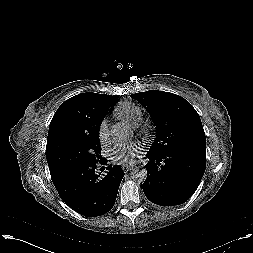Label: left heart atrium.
Returning <instances> with one entry per match:
<instances>
[{"mask_svg": "<svg viewBox=\"0 0 253 253\" xmlns=\"http://www.w3.org/2000/svg\"><path fill=\"white\" fill-rule=\"evenodd\" d=\"M142 149V145L137 142L118 143L111 150V158L117 163L131 164Z\"/></svg>", "mask_w": 253, "mask_h": 253, "instance_id": "left-heart-atrium-1", "label": "left heart atrium"}]
</instances>
